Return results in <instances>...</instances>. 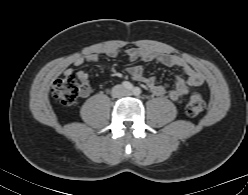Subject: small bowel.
<instances>
[{"instance_id": "small-bowel-1", "label": "small bowel", "mask_w": 248, "mask_h": 195, "mask_svg": "<svg viewBox=\"0 0 248 195\" xmlns=\"http://www.w3.org/2000/svg\"><path fill=\"white\" fill-rule=\"evenodd\" d=\"M107 55L109 57L115 58L118 56V51L111 49L107 52ZM127 55L130 59H136L137 57L143 55L149 61H156L166 66L181 68L185 74V78L180 76L175 77L174 86L168 91L169 97L173 101L181 100L190 91L199 88L204 82L202 73L186 64L180 57L176 55L156 54L153 52H147L143 54L137 49H130L127 52ZM86 60L96 62L99 60V55L94 53L86 57H78L74 60L73 64L75 66H80ZM72 71V68H67L65 73L70 74ZM128 72L135 80L145 83L154 95L162 96L166 93V88L163 85L158 84L154 77L147 76L145 74L144 67L139 65L131 66L128 69ZM76 75L86 85L85 89L82 91V95L86 96L90 92V88L87 85L88 73L85 70H79L77 71Z\"/></svg>"}]
</instances>
